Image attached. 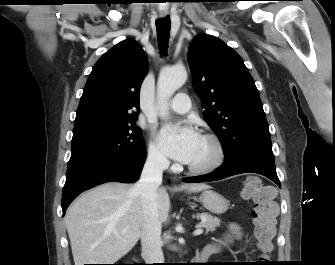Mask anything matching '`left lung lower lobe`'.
<instances>
[{
    "instance_id": "left-lung-lower-lobe-1",
    "label": "left lung lower lobe",
    "mask_w": 335,
    "mask_h": 265,
    "mask_svg": "<svg viewBox=\"0 0 335 265\" xmlns=\"http://www.w3.org/2000/svg\"><path fill=\"white\" fill-rule=\"evenodd\" d=\"M241 173H258L275 182L281 187L279 178L276 173L275 162L260 156L243 155L225 162L216 171L198 177L183 179L184 182H209L220 180L229 176Z\"/></svg>"
}]
</instances>
